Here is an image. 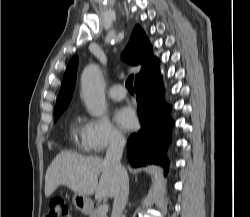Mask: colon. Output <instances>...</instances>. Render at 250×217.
<instances>
[{
  "instance_id": "5ec220e1",
  "label": "colon",
  "mask_w": 250,
  "mask_h": 217,
  "mask_svg": "<svg viewBox=\"0 0 250 217\" xmlns=\"http://www.w3.org/2000/svg\"><path fill=\"white\" fill-rule=\"evenodd\" d=\"M46 217H71V214L64 200L54 199L50 202Z\"/></svg>"
}]
</instances>
